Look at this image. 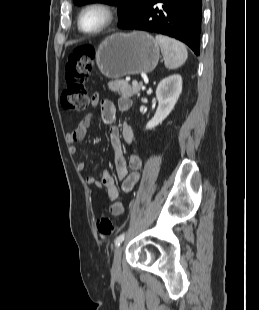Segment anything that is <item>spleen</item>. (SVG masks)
<instances>
[{"mask_svg":"<svg viewBox=\"0 0 259 310\" xmlns=\"http://www.w3.org/2000/svg\"><path fill=\"white\" fill-rule=\"evenodd\" d=\"M156 42L161 48L166 68L177 69L187 60L188 52L181 42L164 35H156Z\"/></svg>","mask_w":259,"mask_h":310,"instance_id":"3e777b00","label":"spleen"}]
</instances>
